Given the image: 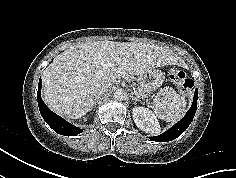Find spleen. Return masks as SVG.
Returning <instances> with one entry per match:
<instances>
[{
    "mask_svg": "<svg viewBox=\"0 0 236 178\" xmlns=\"http://www.w3.org/2000/svg\"><path fill=\"white\" fill-rule=\"evenodd\" d=\"M185 107V98L181 97L174 88L166 86L157 93L153 112L160 119L175 123L184 116Z\"/></svg>",
    "mask_w": 236,
    "mask_h": 178,
    "instance_id": "obj_1",
    "label": "spleen"
}]
</instances>
